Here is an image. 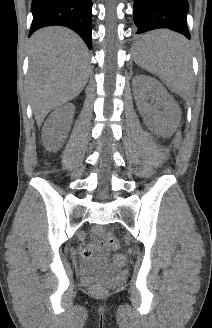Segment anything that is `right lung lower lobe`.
<instances>
[{"instance_id": "right-lung-lower-lobe-1", "label": "right lung lower lobe", "mask_w": 212, "mask_h": 328, "mask_svg": "<svg viewBox=\"0 0 212 328\" xmlns=\"http://www.w3.org/2000/svg\"><path fill=\"white\" fill-rule=\"evenodd\" d=\"M31 10L29 36L39 28L61 25L74 30L92 48L91 0H33Z\"/></svg>"}]
</instances>
